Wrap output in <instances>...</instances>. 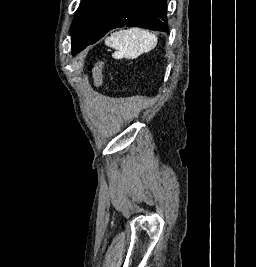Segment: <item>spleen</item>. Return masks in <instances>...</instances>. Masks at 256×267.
I'll list each match as a JSON object with an SVG mask.
<instances>
[{
    "instance_id": "3e777b00",
    "label": "spleen",
    "mask_w": 256,
    "mask_h": 267,
    "mask_svg": "<svg viewBox=\"0 0 256 267\" xmlns=\"http://www.w3.org/2000/svg\"><path fill=\"white\" fill-rule=\"evenodd\" d=\"M158 38L149 32V30H141V28H130V30H119L113 32L110 38H106L105 44L109 48L118 50L115 58H127V60H135L141 54L154 50L157 46Z\"/></svg>"
}]
</instances>
